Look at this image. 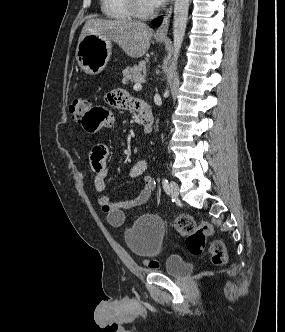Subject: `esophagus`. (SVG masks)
I'll use <instances>...</instances> for the list:
<instances>
[{
    "instance_id": "34e87169",
    "label": "esophagus",
    "mask_w": 285,
    "mask_h": 332,
    "mask_svg": "<svg viewBox=\"0 0 285 332\" xmlns=\"http://www.w3.org/2000/svg\"><path fill=\"white\" fill-rule=\"evenodd\" d=\"M172 8L173 7H172V2H171V5L167 8V10L163 16V20H162L160 26L157 28V30L155 32V37H157V38L166 37L168 29H169Z\"/></svg>"
}]
</instances>
